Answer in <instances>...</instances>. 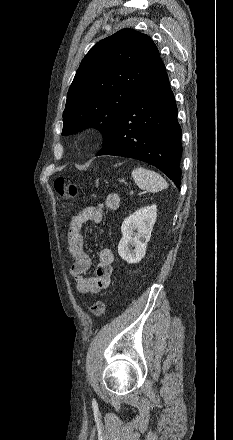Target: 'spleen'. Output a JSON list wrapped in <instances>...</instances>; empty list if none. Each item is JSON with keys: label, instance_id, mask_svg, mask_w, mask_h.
Returning <instances> with one entry per match:
<instances>
[{"label": "spleen", "instance_id": "3e777b00", "mask_svg": "<svg viewBox=\"0 0 233 440\" xmlns=\"http://www.w3.org/2000/svg\"><path fill=\"white\" fill-rule=\"evenodd\" d=\"M136 185L150 192H158L168 187L166 180L157 172L138 167L132 171Z\"/></svg>", "mask_w": 233, "mask_h": 440}]
</instances>
